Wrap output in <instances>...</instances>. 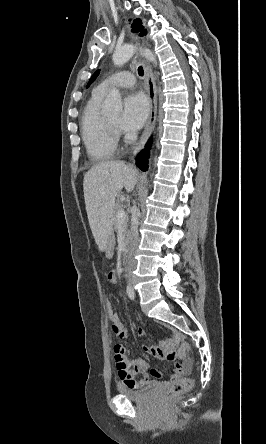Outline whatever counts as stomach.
Returning a JSON list of instances; mask_svg holds the SVG:
<instances>
[{"label":"stomach","instance_id":"0dacf381","mask_svg":"<svg viewBox=\"0 0 266 444\" xmlns=\"http://www.w3.org/2000/svg\"><path fill=\"white\" fill-rule=\"evenodd\" d=\"M112 243V237L110 236L106 242L105 250L107 252V256L110 257L111 253L109 252L110 245Z\"/></svg>","mask_w":266,"mask_h":444}]
</instances>
